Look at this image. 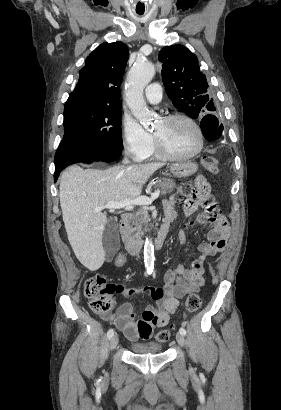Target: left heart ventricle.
Instances as JSON below:
<instances>
[{
    "instance_id": "obj_1",
    "label": "left heart ventricle",
    "mask_w": 281,
    "mask_h": 410,
    "mask_svg": "<svg viewBox=\"0 0 281 410\" xmlns=\"http://www.w3.org/2000/svg\"><path fill=\"white\" fill-rule=\"evenodd\" d=\"M163 145L174 154H189L198 146V136L194 127L185 120L170 122L160 120L154 130Z\"/></svg>"
}]
</instances>
